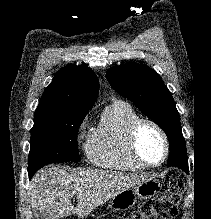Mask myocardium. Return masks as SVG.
<instances>
[{
    "instance_id": "1",
    "label": "myocardium",
    "mask_w": 211,
    "mask_h": 219,
    "mask_svg": "<svg viewBox=\"0 0 211 219\" xmlns=\"http://www.w3.org/2000/svg\"><path fill=\"white\" fill-rule=\"evenodd\" d=\"M152 126L162 137L164 153L162 159L156 164H150L143 160L138 149V134L142 126ZM128 146L133 159L143 168H158L164 165L170 154V142L165 130L154 120L149 118H139L130 127L128 133Z\"/></svg>"
}]
</instances>
